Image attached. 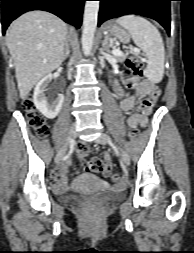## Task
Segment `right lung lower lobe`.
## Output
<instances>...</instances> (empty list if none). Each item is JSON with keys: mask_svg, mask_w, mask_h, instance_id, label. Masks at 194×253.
Here are the masks:
<instances>
[{"mask_svg": "<svg viewBox=\"0 0 194 253\" xmlns=\"http://www.w3.org/2000/svg\"><path fill=\"white\" fill-rule=\"evenodd\" d=\"M2 2V31L21 14L32 10L51 12L79 28L85 0H0Z\"/></svg>", "mask_w": 194, "mask_h": 253, "instance_id": "1", "label": "right lung lower lobe"}]
</instances>
